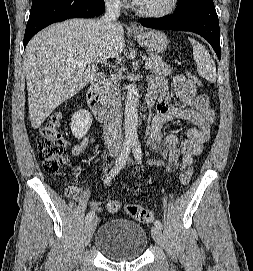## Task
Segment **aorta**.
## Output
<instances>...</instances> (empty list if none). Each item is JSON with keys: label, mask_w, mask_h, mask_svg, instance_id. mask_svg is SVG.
<instances>
[{"label": "aorta", "mask_w": 253, "mask_h": 271, "mask_svg": "<svg viewBox=\"0 0 253 271\" xmlns=\"http://www.w3.org/2000/svg\"><path fill=\"white\" fill-rule=\"evenodd\" d=\"M138 106H139L138 88L135 83H132L128 87L125 100L124 131L125 139L127 141H136L138 139L137 134Z\"/></svg>", "instance_id": "762f6f07"}]
</instances>
